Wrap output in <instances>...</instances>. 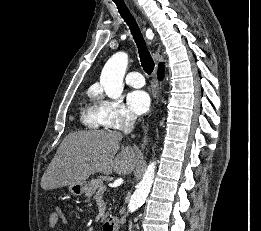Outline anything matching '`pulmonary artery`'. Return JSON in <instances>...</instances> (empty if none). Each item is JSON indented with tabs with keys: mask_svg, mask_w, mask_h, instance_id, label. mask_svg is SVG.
Masks as SVG:
<instances>
[{
	"mask_svg": "<svg viewBox=\"0 0 261 231\" xmlns=\"http://www.w3.org/2000/svg\"><path fill=\"white\" fill-rule=\"evenodd\" d=\"M126 83L134 88H141L145 84L143 75L138 71H131L126 76Z\"/></svg>",
	"mask_w": 261,
	"mask_h": 231,
	"instance_id": "1",
	"label": "pulmonary artery"
}]
</instances>
